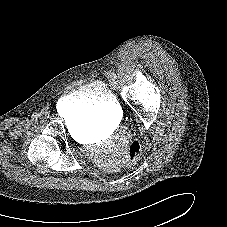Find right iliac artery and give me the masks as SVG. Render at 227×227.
Masks as SVG:
<instances>
[{"label": "right iliac artery", "instance_id": "82829eb1", "mask_svg": "<svg viewBox=\"0 0 227 227\" xmlns=\"http://www.w3.org/2000/svg\"><path fill=\"white\" fill-rule=\"evenodd\" d=\"M37 118H38V114H33L32 115V119H36L37 120Z\"/></svg>", "mask_w": 227, "mask_h": 227}]
</instances>
